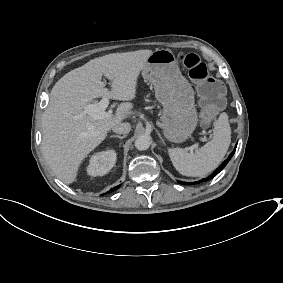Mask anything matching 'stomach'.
I'll list each match as a JSON object with an SVG mask.
<instances>
[{
	"label": "stomach",
	"mask_w": 283,
	"mask_h": 283,
	"mask_svg": "<svg viewBox=\"0 0 283 283\" xmlns=\"http://www.w3.org/2000/svg\"><path fill=\"white\" fill-rule=\"evenodd\" d=\"M142 76L152 83L155 97L163 107L159 119L164 137L177 144L186 142L197 128L198 112L194 90L181 74L173 52L168 49L154 51Z\"/></svg>",
	"instance_id": "stomach-1"
}]
</instances>
